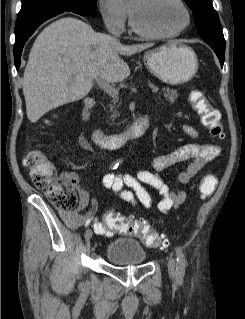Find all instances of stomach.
<instances>
[{
	"label": "stomach",
	"mask_w": 245,
	"mask_h": 319,
	"mask_svg": "<svg viewBox=\"0 0 245 319\" xmlns=\"http://www.w3.org/2000/svg\"><path fill=\"white\" fill-rule=\"evenodd\" d=\"M143 60L150 72L171 85L189 81L198 70L195 52L180 42H170L148 51Z\"/></svg>",
	"instance_id": "obj_1"
}]
</instances>
